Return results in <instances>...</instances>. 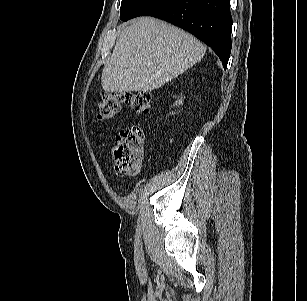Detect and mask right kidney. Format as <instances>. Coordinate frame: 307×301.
<instances>
[{
    "instance_id": "1",
    "label": "right kidney",
    "mask_w": 307,
    "mask_h": 301,
    "mask_svg": "<svg viewBox=\"0 0 307 301\" xmlns=\"http://www.w3.org/2000/svg\"><path fill=\"white\" fill-rule=\"evenodd\" d=\"M177 104H178V105H182V104H183L182 99H179L178 101H176V103H175L174 105H176V106H177Z\"/></svg>"
}]
</instances>
